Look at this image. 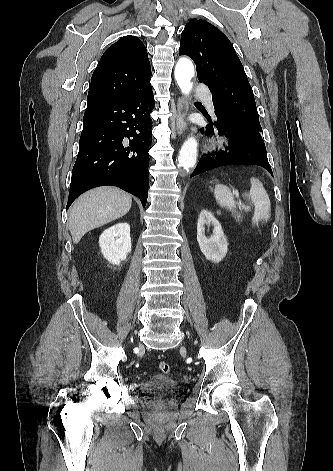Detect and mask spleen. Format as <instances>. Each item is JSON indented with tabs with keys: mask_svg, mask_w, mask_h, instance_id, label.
I'll return each instance as SVG.
<instances>
[{
	"mask_svg": "<svg viewBox=\"0 0 333 471\" xmlns=\"http://www.w3.org/2000/svg\"><path fill=\"white\" fill-rule=\"evenodd\" d=\"M250 182V191L249 193H245L244 196L251 199L253 202L255 210L252 222L253 224H258L260 220H268L270 218L271 204L263 184L255 177H252ZM214 196L221 207L231 211L236 208L233 194L227 186L216 184Z\"/></svg>",
	"mask_w": 333,
	"mask_h": 471,
	"instance_id": "1",
	"label": "spleen"
}]
</instances>
